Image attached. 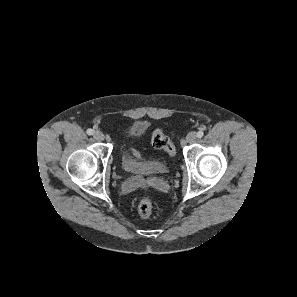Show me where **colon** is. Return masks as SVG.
Instances as JSON below:
<instances>
[{"label": "colon", "instance_id": "obj_1", "mask_svg": "<svg viewBox=\"0 0 297 297\" xmlns=\"http://www.w3.org/2000/svg\"><path fill=\"white\" fill-rule=\"evenodd\" d=\"M152 145L157 148L164 150L173 157L176 154V149L170 139L164 134L162 129H157L152 135ZM135 156H139L138 151L133 150ZM153 211V202L150 197H143L138 204V213L142 218H148Z\"/></svg>", "mask_w": 297, "mask_h": 297}]
</instances>
